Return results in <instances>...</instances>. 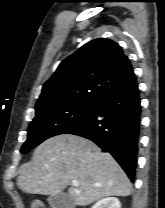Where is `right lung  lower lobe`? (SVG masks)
<instances>
[{
	"label": "right lung lower lobe",
	"instance_id": "obj_1",
	"mask_svg": "<svg viewBox=\"0 0 165 208\" xmlns=\"http://www.w3.org/2000/svg\"><path fill=\"white\" fill-rule=\"evenodd\" d=\"M140 95L134 76L122 87L107 93L89 116L68 131L95 142L109 152L134 181L140 134Z\"/></svg>",
	"mask_w": 165,
	"mask_h": 208
}]
</instances>
